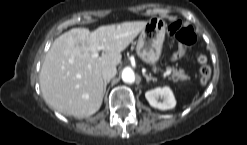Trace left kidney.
Returning <instances> with one entry per match:
<instances>
[{"label": "left kidney", "instance_id": "left-kidney-1", "mask_svg": "<svg viewBox=\"0 0 247 145\" xmlns=\"http://www.w3.org/2000/svg\"><path fill=\"white\" fill-rule=\"evenodd\" d=\"M145 97L152 107L160 110L172 109L176 105L175 97L169 87H158L153 90H149L145 93ZM159 97L163 98L162 102L158 101Z\"/></svg>", "mask_w": 247, "mask_h": 145}]
</instances>
